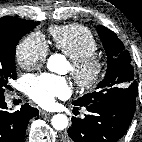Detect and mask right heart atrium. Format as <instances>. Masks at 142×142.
Here are the masks:
<instances>
[{
  "label": "right heart atrium",
  "instance_id": "obj_1",
  "mask_svg": "<svg viewBox=\"0 0 142 142\" xmlns=\"http://www.w3.org/2000/svg\"><path fill=\"white\" fill-rule=\"evenodd\" d=\"M48 54V45L44 36L39 32H32L25 36L16 47V59L25 70L40 67Z\"/></svg>",
  "mask_w": 142,
  "mask_h": 142
}]
</instances>
